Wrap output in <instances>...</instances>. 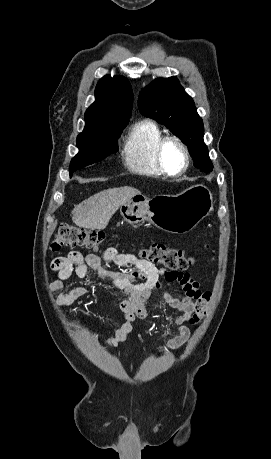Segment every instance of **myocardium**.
<instances>
[{"label":"myocardium","mask_w":271,"mask_h":459,"mask_svg":"<svg viewBox=\"0 0 271 459\" xmlns=\"http://www.w3.org/2000/svg\"><path fill=\"white\" fill-rule=\"evenodd\" d=\"M170 140L177 141L181 145L182 149L185 152L186 166L182 171L172 172L167 167L166 162L164 160V155H163L164 146ZM155 159H156L157 164L161 168V170L167 176L173 177V178L180 177V176L186 174L188 172L191 164H192V154H191V151H190V148H189L188 144L186 143V141L182 137H180L177 134H173V133L164 134L158 139V141L156 143V146H155Z\"/></svg>","instance_id":"obj_1"}]
</instances>
